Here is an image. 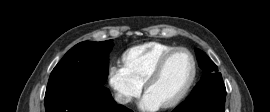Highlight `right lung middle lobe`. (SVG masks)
Instances as JSON below:
<instances>
[{
    "instance_id": "right-lung-middle-lobe-1",
    "label": "right lung middle lobe",
    "mask_w": 270,
    "mask_h": 112,
    "mask_svg": "<svg viewBox=\"0 0 270 112\" xmlns=\"http://www.w3.org/2000/svg\"><path fill=\"white\" fill-rule=\"evenodd\" d=\"M112 46V40H108L84 41L72 47L51 72L46 92L63 84L89 90L103 87L107 76V54Z\"/></svg>"
}]
</instances>
